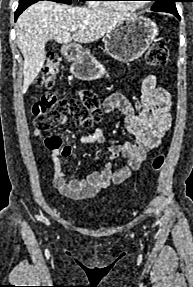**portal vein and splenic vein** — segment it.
<instances>
[{"label":"portal vein and splenic vein","instance_id":"1","mask_svg":"<svg viewBox=\"0 0 193 287\" xmlns=\"http://www.w3.org/2000/svg\"><path fill=\"white\" fill-rule=\"evenodd\" d=\"M76 30H77V27H72V28L70 29L71 32H75Z\"/></svg>","mask_w":193,"mask_h":287}]
</instances>
